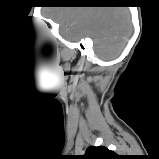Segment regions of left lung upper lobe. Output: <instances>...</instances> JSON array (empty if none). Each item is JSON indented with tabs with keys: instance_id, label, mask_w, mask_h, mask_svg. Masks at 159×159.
I'll use <instances>...</instances> for the list:
<instances>
[{
	"instance_id": "1",
	"label": "left lung upper lobe",
	"mask_w": 159,
	"mask_h": 159,
	"mask_svg": "<svg viewBox=\"0 0 159 159\" xmlns=\"http://www.w3.org/2000/svg\"><path fill=\"white\" fill-rule=\"evenodd\" d=\"M80 159H120V156L104 146H91Z\"/></svg>"
}]
</instances>
